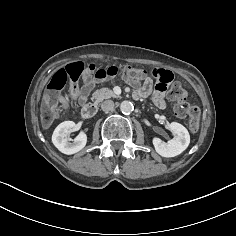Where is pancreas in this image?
<instances>
[{"instance_id":"pancreas-1","label":"pancreas","mask_w":236,"mask_h":236,"mask_svg":"<svg viewBox=\"0 0 236 236\" xmlns=\"http://www.w3.org/2000/svg\"><path fill=\"white\" fill-rule=\"evenodd\" d=\"M111 97H117V95L109 88H101L99 90H96L92 94V100L94 101L95 104H98L102 102L104 99H108Z\"/></svg>"}]
</instances>
